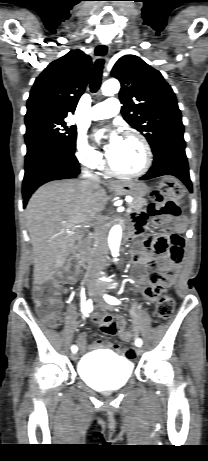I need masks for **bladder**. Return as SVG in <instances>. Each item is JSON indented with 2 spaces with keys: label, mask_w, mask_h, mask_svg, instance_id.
Instances as JSON below:
<instances>
[{
  "label": "bladder",
  "mask_w": 208,
  "mask_h": 461,
  "mask_svg": "<svg viewBox=\"0 0 208 461\" xmlns=\"http://www.w3.org/2000/svg\"><path fill=\"white\" fill-rule=\"evenodd\" d=\"M132 363L110 352H97L84 356L78 364L81 379L99 391L124 387L132 374Z\"/></svg>",
  "instance_id": "1"
}]
</instances>
